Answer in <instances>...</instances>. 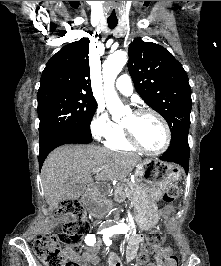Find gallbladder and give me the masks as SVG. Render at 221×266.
I'll return each instance as SVG.
<instances>
[{"label":"gallbladder","mask_w":221,"mask_h":266,"mask_svg":"<svg viewBox=\"0 0 221 266\" xmlns=\"http://www.w3.org/2000/svg\"><path fill=\"white\" fill-rule=\"evenodd\" d=\"M86 189V185L77 184L73 186L65 195V199H77L80 197Z\"/></svg>","instance_id":"bac80fb5"}]
</instances>
